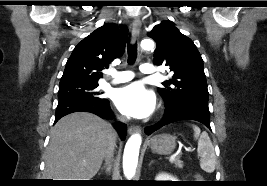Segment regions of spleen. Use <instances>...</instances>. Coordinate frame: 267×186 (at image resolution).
<instances>
[{
    "label": "spleen",
    "instance_id": "spleen-1",
    "mask_svg": "<svg viewBox=\"0 0 267 186\" xmlns=\"http://www.w3.org/2000/svg\"><path fill=\"white\" fill-rule=\"evenodd\" d=\"M194 137L198 139V154L200 155V166L206 172L215 170L216 156L214 147L208 136V133L202 132L199 127L193 125Z\"/></svg>",
    "mask_w": 267,
    "mask_h": 186
}]
</instances>
